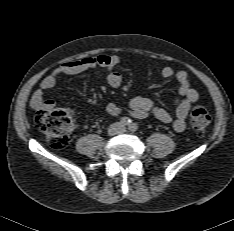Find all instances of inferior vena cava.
I'll list each match as a JSON object with an SVG mask.
<instances>
[{
    "instance_id": "inferior-vena-cava-1",
    "label": "inferior vena cava",
    "mask_w": 234,
    "mask_h": 231,
    "mask_svg": "<svg viewBox=\"0 0 234 231\" xmlns=\"http://www.w3.org/2000/svg\"><path fill=\"white\" fill-rule=\"evenodd\" d=\"M115 125V124H114ZM114 134H117V133H120V131H118V132H113Z\"/></svg>"
}]
</instances>
